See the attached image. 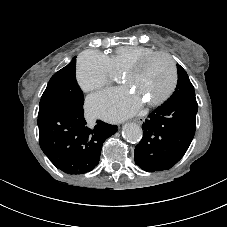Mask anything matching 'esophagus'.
<instances>
[{"label":"esophagus","mask_w":227,"mask_h":227,"mask_svg":"<svg viewBox=\"0 0 227 227\" xmlns=\"http://www.w3.org/2000/svg\"><path fill=\"white\" fill-rule=\"evenodd\" d=\"M144 120L145 119L143 117H138V118L134 119V121L138 124H142L144 122Z\"/></svg>","instance_id":"34e87169"}]
</instances>
